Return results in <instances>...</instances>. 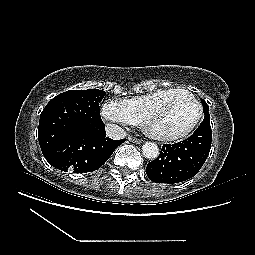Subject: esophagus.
Masks as SVG:
<instances>
[{
	"label": "esophagus",
	"instance_id": "esophagus-1",
	"mask_svg": "<svg viewBox=\"0 0 255 255\" xmlns=\"http://www.w3.org/2000/svg\"><path fill=\"white\" fill-rule=\"evenodd\" d=\"M128 139H129L131 142L136 143V144L142 143V140H141V139H138V138H135V137H132V136L128 137Z\"/></svg>",
	"mask_w": 255,
	"mask_h": 255
}]
</instances>
